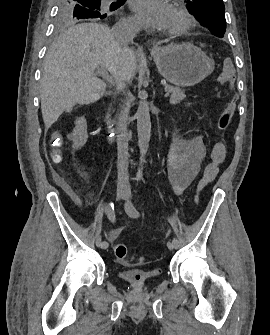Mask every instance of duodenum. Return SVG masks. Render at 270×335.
Masks as SVG:
<instances>
[{
	"mask_svg": "<svg viewBox=\"0 0 270 335\" xmlns=\"http://www.w3.org/2000/svg\"><path fill=\"white\" fill-rule=\"evenodd\" d=\"M104 121H105V123L108 125L109 124V115L108 114H106L105 115V117H104ZM108 138L110 139L111 138V133L110 132H108Z\"/></svg>",
	"mask_w": 270,
	"mask_h": 335,
	"instance_id": "duodenum-1",
	"label": "duodenum"
}]
</instances>
